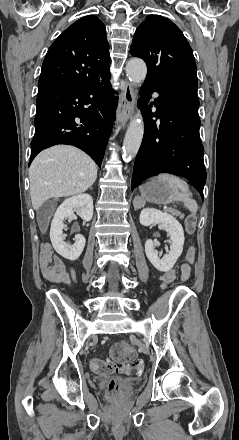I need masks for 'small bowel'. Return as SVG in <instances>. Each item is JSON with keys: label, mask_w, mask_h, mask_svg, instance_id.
Instances as JSON below:
<instances>
[{"label": "small bowel", "mask_w": 239, "mask_h": 440, "mask_svg": "<svg viewBox=\"0 0 239 440\" xmlns=\"http://www.w3.org/2000/svg\"><path fill=\"white\" fill-rule=\"evenodd\" d=\"M40 266L44 277L54 283L70 284L74 280V272L67 269L62 259L56 255L49 245H44L40 253ZM189 265H181V279L189 277Z\"/></svg>", "instance_id": "small-bowel-1"}]
</instances>
